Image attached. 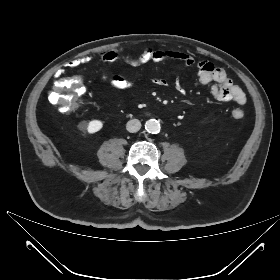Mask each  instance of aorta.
<instances>
[{"mask_svg": "<svg viewBox=\"0 0 280 280\" xmlns=\"http://www.w3.org/2000/svg\"><path fill=\"white\" fill-rule=\"evenodd\" d=\"M160 123L155 119H150L145 123V129L149 133H158L160 131Z\"/></svg>", "mask_w": 280, "mask_h": 280, "instance_id": "1", "label": "aorta"}]
</instances>
